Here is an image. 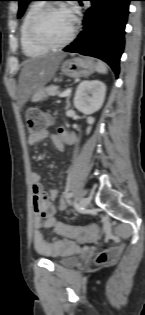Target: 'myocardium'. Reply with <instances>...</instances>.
Returning a JSON list of instances; mask_svg holds the SVG:
<instances>
[{"label": "myocardium", "instance_id": "obj_1", "mask_svg": "<svg viewBox=\"0 0 145 315\" xmlns=\"http://www.w3.org/2000/svg\"><path fill=\"white\" fill-rule=\"evenodd\" d=\"M62 9L55 4H47L42 6L31 18L28 25V35L30 40L37 46L44 48L46 50H55L68 45L74 38L77 31V20L74 18L73 27L69 35L62 41L57 43H52L44 40L38 33V25L45 14L50 11Z\"/></svg>", "mask_w": 145, "mask_h": 315}]
</instances>
